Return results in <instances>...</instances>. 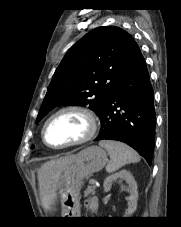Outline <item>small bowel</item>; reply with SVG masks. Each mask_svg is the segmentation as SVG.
Wrapping results in <instances>:
<instances>
[{"label":"small bowel","instance_id":"obj_1","mask_svg":"<svg viewBox=\"0 0 181 227\" xmlns=\"http://www.w3.org/2000/svg\"><path fill=\"white\" fill-rule=\"evenodd\" d=\"M86 207L91 214H96L98 212L99 204L96 198H90L86 202Z\"/></svg>","mask_w":181,"mask_h":227}]
</instances>
